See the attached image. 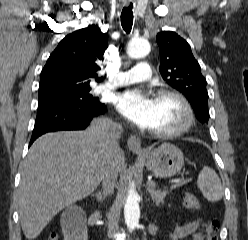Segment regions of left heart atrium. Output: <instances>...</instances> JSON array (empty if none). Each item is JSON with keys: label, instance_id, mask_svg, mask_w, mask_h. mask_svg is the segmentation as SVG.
I'll use <instances>...</instances> for the list:
<instances>
[{"label": "left heart atrium", "instance_id": "obj_1", "mask_svg": "<svg viewBox=\"0 0 248 240\" xmlns=\"http://www.w3.org/2000/svg\"><path fill=\"white\" fill-rule=\"evenodd\" d=\"M118 111L142 128H153L157 120L156 98L140 89L121 93L116 101Z\"/></svg>", "mask_w": 248, "mask_h": 240}]
</instances>
